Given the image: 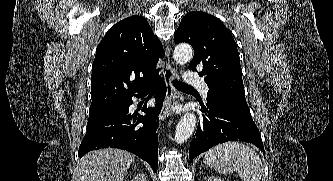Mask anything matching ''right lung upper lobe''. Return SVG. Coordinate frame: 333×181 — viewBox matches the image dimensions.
Segmentation results:
<instances>
[{
    "instance_id": "right-lung-upper-lobe-1",
    "label": "right lung upper lobe",
    "mask_w": 333,
    "mask_h": 181,
    "mask_svg": "<svg viewBox=\"0 0 333 181\" xmlns=\"http://www.w3.org/2000/svg\"><path fill=\"white\" fill-rule=\"evenodd\" d=\"M163 47L147 20L131 16L112 26L96 49L89 110L118 104L154 86Z\"/></svg>"
}]
</instances>
